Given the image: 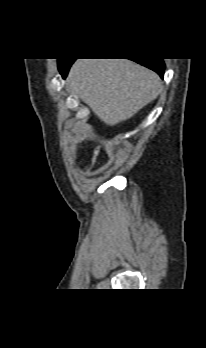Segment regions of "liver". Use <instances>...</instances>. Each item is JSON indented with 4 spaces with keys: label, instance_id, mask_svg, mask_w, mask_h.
Segmentation results:
<instances>
[{
    "label": "liver",
    "instance_id": "1",
    "mask_svg": "<svg viewBox=\"0 0 206 348\" xmlns=\"http://www.w3.org/2000/svg\"><path fill=\"white\" fill-rule=\"evenodd\" d=\"M67 84L109 126L131 118L163 88L155 72L128 59H78Z\"/></svg>",
    "mask_w": 206,
    "mask_h": 348
}]
</instances>
